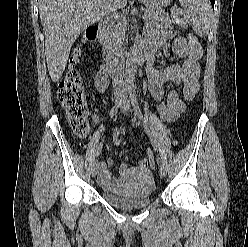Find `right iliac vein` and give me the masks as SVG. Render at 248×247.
<instances>
[{
	"instance_id": "right-iliac-vein-1",
	"label": "right iliac vein",
	"mask_w": 248,
	"mask_h": 247,
	"mask_svg": "<svg viewBox=\"0 0 248 247\" xmlns=\"http://www.w3.org/2000/svg\"><path fill=\"white\" fill-rule=\"evenodd\" d=\"M120 101V97L116 96L113 98V102L116 104ZM91 173H92V177H96V175L98 174V162L95 161L93 167H92V170H91Z\"/></svg>"
}]
</instances>
